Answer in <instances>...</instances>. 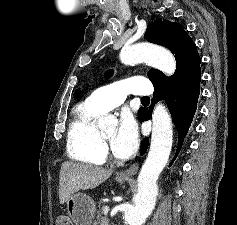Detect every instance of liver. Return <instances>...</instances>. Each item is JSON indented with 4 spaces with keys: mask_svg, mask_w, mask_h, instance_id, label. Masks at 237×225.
I'll list each match as a JSON object with an SVG mask.
<instances>
[{
    "mask_svg": "<svg viewBox=\"0 0 237 225\" xmlns=\"http://www.w3.org/2000/svg\"><path fill=\"white\" fill-rule=\"evenodd\" d=\"M113 171L75 162H64L59 174V201L64 204L76 192L93 189L107 180Z\"/></svg>",
    "mask_w": 237,
    "mask_h": 225,
    "instance_id": "6515ba94",
    "label": "liver"
}]
</instances>
